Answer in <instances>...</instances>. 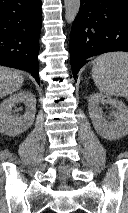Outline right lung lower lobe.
Masks as SVG:
<instances>
[{
	"label": "right lung lower lobe",
	"instance_id": "right-lung-lower-lobe-1",
	"mask_svg": "<svg viewBox=\"0 0 128 213\" xmlns=\"http://www.w3.org/2000/svg\"><path fill=\"white\" fill-rule=\"evenodd\" d=\"M41 0H0V65L31 72L38 84Z\"/></svg>",
	"mask_w": 128,
	"mask_h": 213
}]
</instances>
